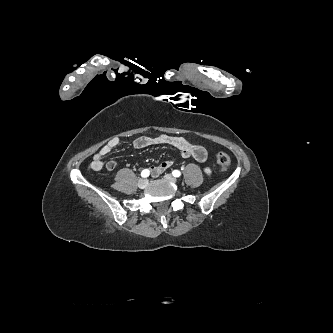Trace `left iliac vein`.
I'll list each match as a JSON object with an SVG mask.
<instances>
[{
    "label": "left iliac vein",
    "mask_w": 333,
    "mask_h": 333,
    "mask_svg": "<svg viewBox=\"0 0 333 333\" xmlns=\"http://www.w3.org/2000/svg\"><path fill=\"white\" fill-rule=\"evenodd\" d=\"M164 179L166 181L171 182V183H176L177 182V179L174 176H172L171 174H165Z\"/></svg>",
    "instance_id": "4c4485c4"
}]
</instances>
